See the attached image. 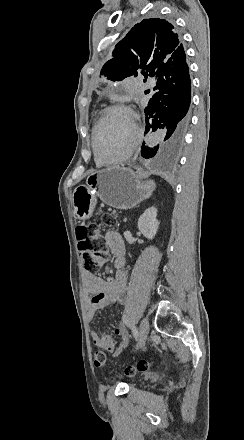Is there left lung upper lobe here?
I'll use <instances>...</instances> for the list:
<instances>
[{"instance_id":"1","label":"left lung upper lobe","mask_w":244,"mask_h":440,"mask_svg":"<svg viewBox=\"0 0 244 440\" xmlns=\"http://www.w3.org/2000/svg\"><path fill=\"white\" fill-rule=\"evenodd\" d=\"M113 56L101 71L112 81L134 75L137 70L155 76L162 66L180 62L185 51L174 26L160 18L144 19L137 23L113 51Z\"/></svg>"}]
</instances>
